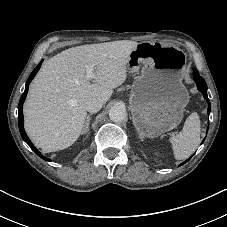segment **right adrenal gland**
Masks as SVG:
<instances>
[{
  "label": "right adrenal gland",
  "mask_w": 227,
  "mask_h": 227,
  "mask_svg": "<svg viewBox=\"0 0 227 227\" xmlns=\"http://www.w3.org/2000/svg\"><path fill=\"white\" fill-rule=\"evenodd\" d=\"M91 116H92V114H89V115L87 116L86 122H85V125H84V130H83L82 134L88 133V132H89V124H90Z\"/></svg>",
  "instance_id": "obj_1"
}]
</instances>
